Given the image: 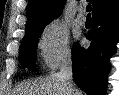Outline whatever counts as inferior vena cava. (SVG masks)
Masks as SVG:
<instances>
[{
    "label": "inferior vena cava",
    "mask_w": 119,
    "mask_h": 95,
    "mask_svg": "<svg viewBox=\"0 0 119 95\" xmlns=\"http://www.w3.org/2000/svg\"><path fill=\"white\" fill-rule=\"evenodd\" d=\"M58 77L66 84L67 92L69 95H78V89L76 88L72 79V57L70 53H66L61 61L60 72Z\"/></svg>",
    "instance_id": "602c4592"
}]
</instances>
